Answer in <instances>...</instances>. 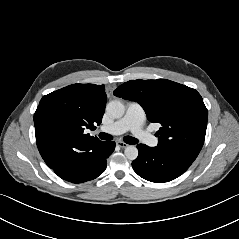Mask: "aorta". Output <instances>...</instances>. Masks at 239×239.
Segmentation results:
<instances>
[{
    "mask_svg": "<svg viewBox=\"0 0 239 239\" xmlns=\"http://www.w3.org/2000/svg\"><path fill=\"white\" fill-rule=\"evenodd\" d=\"M106 112L110 117L118 119L124 115L125 108L120 101L114 100L107 104ZM124 153L129 160H135L138 157V149L134 145L127 146Z\"/></svg>",
    "mask_w": 239,
    "mask_h": 239,
    "instance_id": "1",
    "label": "aorta"
}]
</instances>
